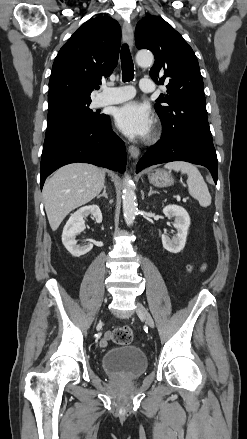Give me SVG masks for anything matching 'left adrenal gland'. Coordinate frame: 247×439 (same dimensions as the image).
Wrapping results in <instances>:
<instances>
[{"mask_svg": "<svg viewBox=\"0 0 247 439\" xmlns=\"http://www.w3.org/2000/svg\"><path fill=\"white\" fill-rule=\"evenodd\" d=\"M152 194H160V193L158 191L152 190V187L150 186V190H149L148 196H151Z\"/></svg>", "mask_w": 247, "mask_h": 439, "instance_id": "1", "label": "left adrenal gland"}]
</instances>
